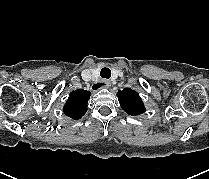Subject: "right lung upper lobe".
Returning <instances> with one entry per match:
<instances>
[{"label":"right lung upper lobe","mask_w":209,"mask_h":179,"mask_svg":"<svg viewBox=\"0 0 209 179\" xmlns=\"http://www.w3.org/2000/svg\"><path fill=\"white\" fill-rule=\"evenodd\" d=\"M90 92L83 89L72 91L64 105V114L72 119L78 120L87 112V102L90 99Z\"/></svg>","instance_id":"right-lung-upper-lobe-1"}]
</instances>
